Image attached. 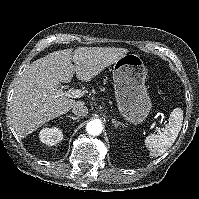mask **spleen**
I'll use <instances>...</instances> for the list:
<instances>
[{
	"label": "spleen",
	"instance_id": "3e777b00",
	"mask_svg": "<svg viewBox=\"0 0 199 199\" xmlns=\"http://www.w3.org/2000/svg\"><path fill=\"white\" fill-rule=\"evenodd\" d=\"M183 122V110L175 108L168 119L165 129L157 134H150L145 139V145L151 158H156L170 148L181 130Z\"/></svg>",
	"mask_w": 199,
	"mask_h": 199
}]
</instances>
